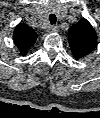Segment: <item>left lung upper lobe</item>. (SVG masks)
Segmentation results:
<instances>
[{
  "mask_svg": "<svg viewBox=\"0 0 100 118\" xmlns=\"http://www.w3.org/2000/svg\"><path fill=\"white\" fill-rule=\"evenodd\" d=\"M68 31V41L72 53L77 59L88 55L96 47V32L86 19L82 18Z\"/></svg>",
  "mask_w": 100,
  "mask_h": 118,
  "instance_id": "1",
  "label": "left lung upper lobe"
}]
</instances>
